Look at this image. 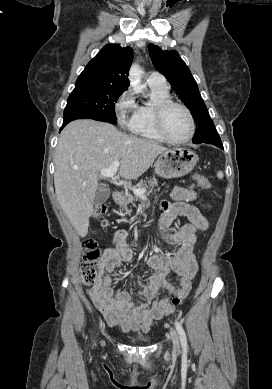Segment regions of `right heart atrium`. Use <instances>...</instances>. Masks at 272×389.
Segmentation results:
<instances>
[{"mask_svg":"<svg viewBox=\"0 0 272 389\" xmlns=\"http://www.w3.org/2000/svg\"><path fill=\"white\" fill-rule=\"evenodd\" d=\"M136 102L130 89L125 90L115 102V113L121 125H127L129 116L134 113Z\"/></svg>","mask_w":272,"mask_h":389,"instance_id":"1","label":"right heart atrium"}]
</instances>
